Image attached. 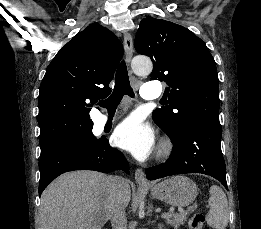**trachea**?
Instances as JSON below:
<instances>
[{
  "mask_svg": "<svg viewBox=\"0 0 261 229\" xmlns=\"http://www.w3.org/2000/svg\"><path fill=\"white\" fill-rule=\"evenodd\" d=\"M124 95L134 97L133 89L130 85L127 67L124 61H122L117 69L115 77V88L106 100H100L99 105L105 107L108 112L114 113L122 100Z\"/></svg>",
  "mask_w": 261,
  "mask_h": 229,
  "instance_id": "1",
  "label": "trachea"
}]
</instances>
